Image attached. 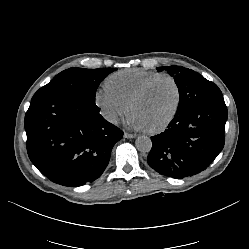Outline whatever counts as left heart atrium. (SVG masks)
<instances>
[{
	"instance_id": "obj_1",
	"label": "left heart atrium",
	"mask_w": 249,
	"mask_h": 249,
	"mask_svg": "<svg viewBox=\"0 0 249 249\" xmlns=\"http://www.w3.org/2000/svg\"><path fill=\"white\" fill-rule=\"evenodd\" d=\"M124 122L134 130L146 131V127L142 123L139 115L134 110H129L125 115Z\"/></svg>"
}]
</instances>
